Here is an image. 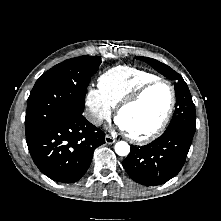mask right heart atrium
Wrapping results in <instances>:
<instances>
[{
    "mask_svg": "<svg viewBox=\"0 0 221 221\" xmlns=\"http://www.w3.org/2000/svg\"><path fill=\"white\" fill-rule=\"evenodd\" d=\"M87 118L94 126H100L109 119L112 113L111 107L104 100L99 90L90 88L85 99Z\"/></svg>",
    "mask_w": 221,
    "mask_h": 221,
    "instance_id": "1",
    "label": "right heart atrium"
}]
</instances>
